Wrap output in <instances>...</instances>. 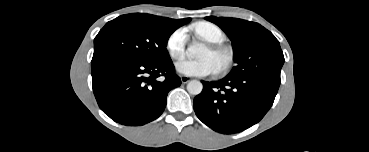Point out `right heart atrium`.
<instances>
[{
  "label": "right heart atrium",
  "mask_w": 369,
  "mask_h": 152,
  "mask_svg": "<svg viewBox=\"0 0 369 152\" xmlns=\"http://www.w3.org/2000/svg\"><path fill=\"white\" fill-rule=\"evenodd\" d=\"M187 34L184 29L175 30L168 38L166 49L172 59H180L184 56Z\"/></svg>",
  "instance_id": "right-heart-atrium-1"
}]
</instances>
